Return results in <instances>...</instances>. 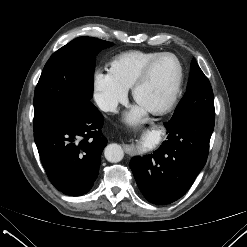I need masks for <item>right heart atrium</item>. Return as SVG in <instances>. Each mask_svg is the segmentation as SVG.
Returning a JSON list of instances; mask_svg holds the SVG:
<instances>
[{"label": "right heart atrium", "instance_id": "obj_1", "mask_svg": "<svg viewBox=\"0 0 247 247\" xmlns=\"http://www.w3.org/2000/svg\"><path fill=\"white\" fill-rule=\"evenodd\" d=\"M93 98L100 110L112 113L127 98V89L121 86L109 71L97 69L92 79Z\"/></svg>", "mask_w": 247, "mask_h": 247}]
</instances>
